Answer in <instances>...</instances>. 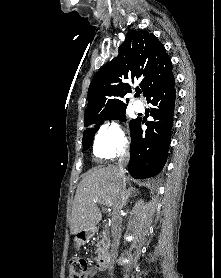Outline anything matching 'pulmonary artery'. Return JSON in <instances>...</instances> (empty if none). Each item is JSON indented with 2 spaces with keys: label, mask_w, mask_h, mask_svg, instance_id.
Wrapping results in <instances>:
<instances>
[{
  "label": "pulmonary artery",
  "mask_w": 221,
  "mask_h": 278,
  "mask_svg": "<svg viewBox=\"0 0 221 278\" xmlns=\"http://www.w3.org/2000/svg\"><path fill=\"white\" fill-rule=\"evenodd\" d=\"M133 108L135 111H142L144 106H143V103L140 102V101H134L133 104H132Z\"/></svg>",
  "instance_id": "pulmonary-artery-1"
}]
</instances>
